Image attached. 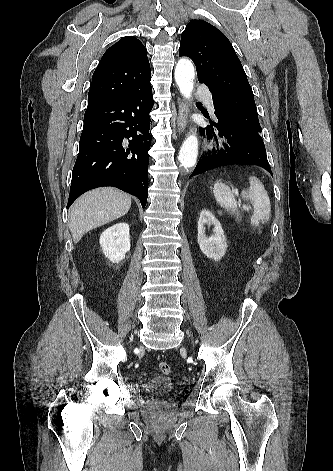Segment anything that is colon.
Wrapping results in <instances>:
<instances>
[{"label":"colon","mask_w":333,"mask_h":471,"mask_svg":"<svg viewBox=\"0 0 333 471\" xmlns=\"http://www.w3.org/2000/svg\"><path fill=\"white\" fill-rule=\"evenodd\" d=\"M158 368H159V371L164 375H168L171 371V367L169 363L165 361H161L158 365Z\"/></svg>","instance_id":"colon-1"}]
</instances>
